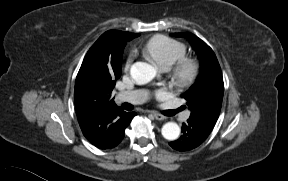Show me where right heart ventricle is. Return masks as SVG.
<instances>
[{
  "instance_id": "e07e8e85",
  "label": "right heart ventricle",
  "mask_w": 288,
  "mask_h": 181,
  "mask_svg": "<svg viewBox=\"0 0 288 181\" xmlns=\"http://www.w3.org/2000/svg\"><path fill=\"white\" fill-rule=\"evenodd\" d=\"M186 46L164 35L152 37L144 47V53L151 57L160 68H170L186 55Z\"/></svg>"
}]
</instances>
